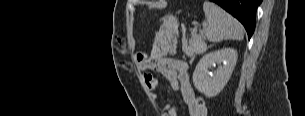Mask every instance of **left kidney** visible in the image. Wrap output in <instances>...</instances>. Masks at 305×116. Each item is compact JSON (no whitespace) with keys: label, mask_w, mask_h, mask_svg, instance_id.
Segmentation results:
<instances>
[{"label":"left kidney","mask_w":305,"mask_h":116,"mask_svg":"<svg viewBox=\"0 0 305 116\" xmlns=\"http://www.w3.org/2000/svg\"><path fill=\"white\" fill-rule=\"evenodd\" d=\"M238 58L237 51L223 48L205 54L198 62L193 73L195 88L206 97L218 95L229 81ZM218 67L212 73L208 69Z\"/></svg>","instance_id":"5707ae66"}]
</instances>
